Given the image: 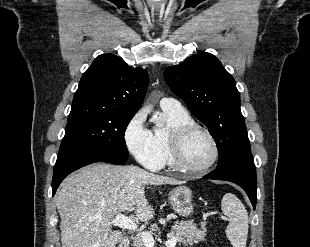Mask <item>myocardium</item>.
Segmentation results:
<instances>
[{
  "mask_svg": "<svg viewBox=\"0 0 310 247\" xmlns=\"http://www.w3.org/2000/svg\"><path fill=\"white\" fill-rule=\"evenodd\" d=\"M194 132L204 133L210 140L213 148L212 159L206 165L199 168L190 167L186 163L184 156L185 141ZM170 151L174 166L190 175H202L206 173L219 159V146L215 137L206 127L195 122L182 124L172 129L170 133Z\"/></svg>",
  "mask_w": 310,
  "mask_h": 247,
  "instance_id": "obj_1",
  "label": "myocardium"
}]
</instances>
